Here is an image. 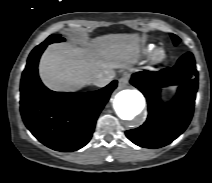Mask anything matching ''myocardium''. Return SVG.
I'll list each match as a JSON object with an SVG mask.
<instances>
[{"instance_id":"f54148a6","label":"myocardium","mask_w":212,"mask_h":183,"mask_svg":"<svg viewBox=\"0 0 212 183\" xmlns=\"http://www.w3.org/2000/svg\"><path fill=\"white\" fill-rule=\"evenodd\" d=\"M150 59L152 64L162 63L167 59V51L162 47H158L152 51Z\"/></svg>"}]
</instances>
